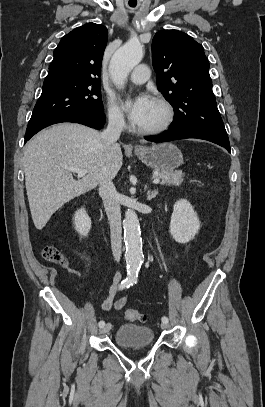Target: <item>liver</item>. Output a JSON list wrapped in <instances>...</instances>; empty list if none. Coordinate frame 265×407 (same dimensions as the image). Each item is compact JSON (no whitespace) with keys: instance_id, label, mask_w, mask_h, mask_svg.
Here are the masks:
<instances>
[{"instance_id":"obj_1","label":"liver","mask_w":265,"mask_h":407,"mask_svg":"<svg viewBox=\"0 0 265 407\" xmlns=\"http://www.w3.org/2000/svg\"><path fill=\"white\" fill-rule=\"evenodd\" d=\"M101 133L76 123H61L31 139L24 150L25 185L35 227L41 230L66 202L114 178L122 167L120 145L107 147ZM65 166L87 170L73 178Z\"/></svg>"}]
</instances>
